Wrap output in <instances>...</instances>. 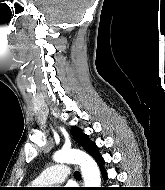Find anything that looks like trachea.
Listing matches in <instances>:
<instances>
[{"instance_id": "obj_1", "label": "trachea", "mask_w": 165, "mask_h": 190, "mask_svg": "<svg viewBox=\"0 0 165 190\" xmlns=\"http://www.w3.org/2000/svg\"><path fill=\"white\" fill-rule=\"evenodd\" d=\"M74 176H75V178L79 179L81 177L80 172L76 171Z\"/></svg>"}]
</instances>
